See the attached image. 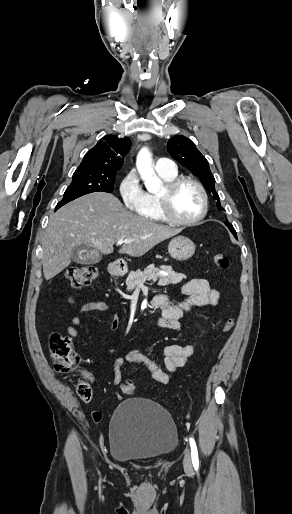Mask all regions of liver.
Segmentation results:
<instances>
[{
    "label": "liver",
    "instance_id": "6515ba94",
    "mask_svg": "<svg viewBox=\"0 0 292 514\" xmlns=\"http://www.w3.org/2000/svg\"><path fill=\"white\" fill-rule=\"evenodd\" d=\"M182 230L128 212L112 194H87L51 214L42 242L44 278L51 280L71 264L75 246L85 244L102 254H112L118 240H128L129 244L125 242L119 254L143 256Z\"/></svg>",
    "mask_w": 292,
    "mask_h": 514
}]
</instances>
